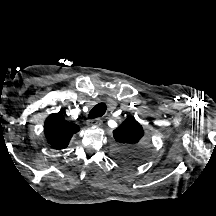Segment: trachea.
Returning a JSON list of instances; mask_svg holds the SVG:
<instances>
[{"mask_svg": "<svg viewBox=\"0 0 216 216\" xmlns=\"http://www.w3.org/2000/svg\"><path fill=\"white\" fill-rule=\"evenodd\" d=\"M107 106L105 103L97 104L88 114L89 119H95L105 114Z\"/></svg>", "mask_w": 216, "mask_h": 216, "instance_id": "obj_1", "label": "trachea"}]
</instances>
